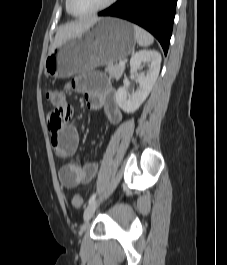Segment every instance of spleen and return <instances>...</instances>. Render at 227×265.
Returning <instances> with one entry per match:
<instances>
[{
	"label": "spleen",
	"mask_w": 227,
	"mask_h": 265,
	"mask_svg": "<svg viewBox=\"0 0 227 265\" xmlns=\"http://www.w3.org/2000/svg\"><path fill=\"white\" fill-rule=\"evenodd\" d=\"M134 32L137 43L142 47H147L151 45L154 41L152 35L142 29L141 27L134 25Z\"/></svg>",
	"instance_id": "3e777b00"
}]
</instances>
